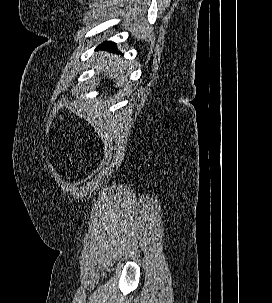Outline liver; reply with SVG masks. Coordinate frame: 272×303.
Wrapping results in <instances>:
<instances>
[{
    "mask_svg": "<svg viewBox=\"0 0 272 303\" xmlns=\"http://www.w3.org/2000/svg\"><path fill=\"white\" fill-rule=\"evenodd\" d=\"M102 66L105 67L106 73H115L117 76L120 73L121 68H126L127 62H123L118 59V56L115 55H107L106 52H101Z\"/></svg>",
    "mask_w": 272,
    "mask_h": 303,
    "instance_id": "liver-1",
    "label": "liver"
}]
</instances>
